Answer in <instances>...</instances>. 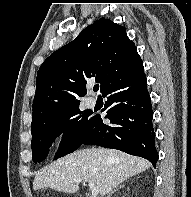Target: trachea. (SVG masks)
<instances>
[{"mask_svg": "<svg viewBox=\"0 0 191 197\" xmlns=\"http://www.w3.org/2000/svg\"><path fill=\"white\" fill-rule=\"evenodd\" d=\"M93 90H94V91H98V90H99V85H95V86L93 87Z\"/></svg>", "mask_w": 191, "mask_h": 197, "instance_id": "3493384b", "label": "trachea"}]
</instances>
